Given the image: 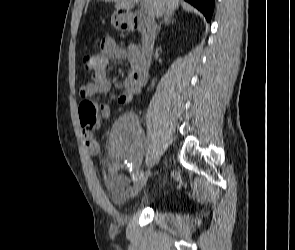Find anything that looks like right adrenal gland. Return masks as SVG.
I'll list each match as a JSON object with an SVG mask.
<instances>
[{"mask_svg": "<svg viewBox=\"0 0 295 250\" xmlns=\"http://www.w3.org/2000/svg\"><path fill=\"white\" fill-rule=\"evenodd\" d=\"M174 21L175 20L173 19L172 14H165L163 21L158 26V31H160L162 24L167 25L169 23H174Z\"/></svg>", "mask_w": 295, "mask_h": 250, "instance_id": "right-adrenal-gland-1", "label": "right adrenal gland"}]
</instances>
